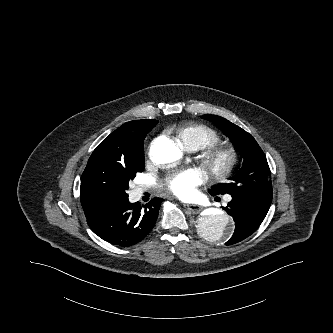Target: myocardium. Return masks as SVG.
I'll list each match as a JSON object with an SVG mask.
<instances>
[{
    "instance_id": "f54148a6",
    "label": "myocardium",
    "mask_w": 333,
    "mask_h": 333,
    "mask_svg": "<svg viewBox=\"0 0 333 333\" xmlns=\"http://www.w3.org/2000/svg\"><path fill=\"white\" fill-rule=\"evenodd\" d=\"M202 164L215 177L229 175L239 163V152L233 146H213L207 148L201 156Z\"/></svg>"
}]
</instances>
